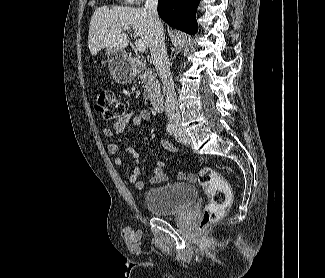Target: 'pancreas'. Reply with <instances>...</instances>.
<instances>
[{
    "label": "pancreas",
    "mask_w": 325,
    "mask_h": 278,
    "mask_svg": "<svg viewBox=\"0 0 325 278\" xmlns=\"http://www.w3.org/2000/svg\"><path fill=\"white\" fill-rule=\"evenodd\" d=\"M139 78L144 83L143 97L145 100L152 101L161 94L160 84L153 70L144 68Z\"/></svg>",
    "instance_id": "pancreas-1"
}]
</instances>
